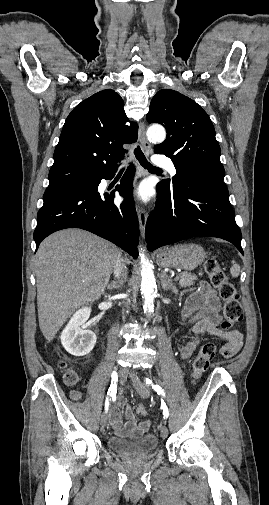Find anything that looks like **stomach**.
Returning <instances> with one entry per match:
<instances>
[{
  "label": "stomach",
  "instance_id": "stomach-1",
  "mask_svg": "<svg viewBox=\"0 0 269 505\" xmlns=\"http://www.w3.org/2000/svg\"><path fill=\"white\" fill-rule=\"evenodd\" d=\"M207 258V252L197 244H178L157 252L156 261L160 267H174L191 271Z\"/></svg>",
  "mask_w": 269,
  "mask_h": 505
}]
</instances>
